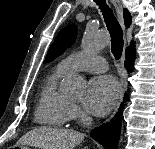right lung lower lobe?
Masks as SVG:
<instances>
[{
	"label": "right lung lower lobe",
	"instance_id": "1",
	"mask_svg": "<svg viewBox=\"0 0 155 149\" xmlns=\"http://www.w3.org/2000/svg\"><path fill=\"white\" fill-rule=\"evenodd\" d=\"M125 66L129 72H131L133 67V62L135 59L134 53L126 52ZM127 94L124 100H126ZM123 104L121 105L119 111L115 117L106 124L95 128L91 132V137L99 142L105 149H116L121 129V110Z\"/></svg>",
	"mask_w": 155,
	"mask_h": 149
}]
</instances>
